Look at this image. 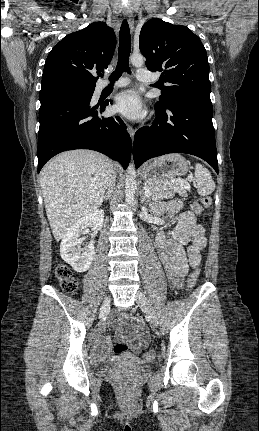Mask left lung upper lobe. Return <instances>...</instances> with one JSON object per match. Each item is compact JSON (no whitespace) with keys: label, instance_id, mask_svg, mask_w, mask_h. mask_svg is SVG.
I'll list each match as a JSON object with an SVG mask.
<instances>
[{"label":"left lung upper lobe","instance_id":"left-lung-upper-lobe-1","mask_svg":"<svg viewBox=\"0 0 259 431\" xmlns=\"http://www.w3.org/2000/svg\"><path fill=\"white\" fill-rule=\"evenodd\" d=\"M140 51L151 71H163L158 103L176 98H195L211 103L209 63L200 38L188 27L161 19L146 22L140 32Z\"/></svg>","mask_w":259,"mask_h":431}]
</instances>
